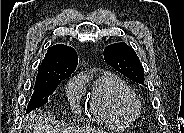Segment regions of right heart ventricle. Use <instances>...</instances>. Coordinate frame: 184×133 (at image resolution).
Returning a JSON list of instances; mask_svg holds the SVG:
<instances>
[{"label": "right heart ventricle", "mask_w": 184, "mask_h": 133, "mask_svg": "<svg viewBox=\"0 0 184 133\" xmlns=\"http://www.w3.org/2000/svg\"><path fill=\"white\" fill-rule=\"evenodd\" d=\"M79 78L83 83V78ZM84 78L86 79V76ZM135 99L134 92L121 78L103 72L93 82L90 110L96 117L107 123L126 125L137 115L131 107Z\"/></svg>", "instance_id": "1"}]
</instances>
